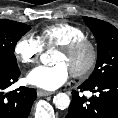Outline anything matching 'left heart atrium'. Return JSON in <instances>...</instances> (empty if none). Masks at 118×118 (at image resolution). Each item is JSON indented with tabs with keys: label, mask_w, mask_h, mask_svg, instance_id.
I'll use <instances>...</instances> for the list:
<instances>
[{
	"label": "left heart atrium",
	"mask_w": 118,
	"mask_h": 118,
	"mask_svg": "<svg viewBox=\"0 0 118 118\" xmlns=\"http://www.w3.org/2000/svg\"><path fill=\"white\" fill-rule=\"evenodd\" d=\"M70 71L62 63L50 66H38L27 75V81L39 88L55 90L62 86L69 78Z\"/></svg>",
	"instance_id": "left-heart-atrium-1"
}]
</instances>
